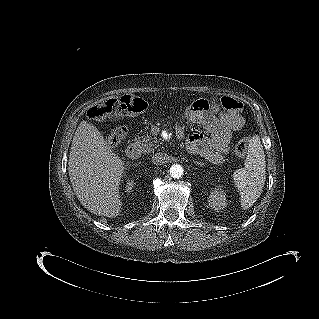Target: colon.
<instances>
[{"label":"colon","instance_id":"1","mask_svg":"<svg viewBox=\"0 0 319 319\" xmlns=\"http://www.w3.org/2000/svg\"><path fill=\"white\" fill-rule=\"evenodd\" d=\"M219 105L232 111H240L243 104L232 97H222L218 101ZM146 109V102L138 97L131 95H123L118 98L108 99L100 104H96L89 108L87 115L89 119L94 121H103L111 117H121L125 115H133L143 112ZM127 130L124 126H118L111 130L107 136V143L110 147H116L120 141L125 137ZM249 139L244 138L240 140L235 148L234 154L243 156L248 149Z\"/></svg>","mask_w":319,"mask_h":319}]
</instances>
